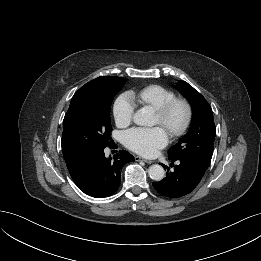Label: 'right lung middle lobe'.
Returning a JSON list of instances; mask_svg holds the SVG:
<instances>
[{"instance_id":"obj_1","label":"right lung middle lobe","mask_w":261,"mask_h":261,"mask_svg":"<svg viewBox=\"0 0 261 261\" xmlns=\"http://www.w3.org/2000/svg\"><path fill=\"white\" fill-rule=\"evenodd\" d=\"M126 79L81 91L70 103L63 120L64 159L105 148L112 142L110 108Z\"/></svg>"}]
</instances>
